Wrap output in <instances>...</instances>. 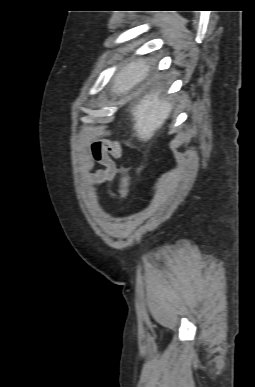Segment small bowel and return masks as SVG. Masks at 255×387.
Segmentation results:
<instances>
[{
  "label": "small bowel",
  "instance_id": "c3829d8e",
  "mask_svg": "<svg viewBox=\"0 0 255 387\" xmlns=\"http://www.w3.org/2000/svg\"><path fill=\"white\" fill-rule=\"evenodd\" d=\"M123 152L122 145L119 142L108 140L82 142L81 168L85 173V179L89 186L100 185L111 181L117 175L119 168L114 159L121 157ZM97 165L100 168H97ZM123 176L119 184V199L124 200L128 197L131 176L126 168L122 169ZM110 197L117 199L115 193L108 189Z\"/></svg>",
  "mask_w": 255,
  "mask_h": 387
}]
</instances>
